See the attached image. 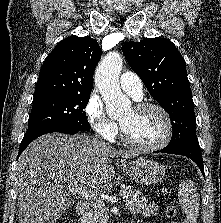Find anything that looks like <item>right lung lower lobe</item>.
I'll use <instances>...</instances> for the list:
<instances>
[{"mask_svg":"<svg viewBox=\"0 0 221 223\" xmlns=\"http://www.w3.org/2000/svg\"><path fill=\"white\" fill-rule=\"evenodd\" d=\"M80 130H75L71 128H64V127H51V128H45V129H40L35 132L25 134L24 138L20 144L19 147V152L18 156L24 151V149L36 138L39 136L46 134V133H51V132H61V133H66V134H76Z\"/></svg>","mask_w":221,"mask_h":223,"instance_id":"98d812e1","label":"right lung lower lobe"}]
</instances>
